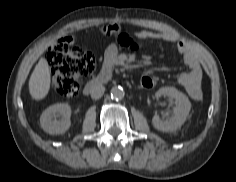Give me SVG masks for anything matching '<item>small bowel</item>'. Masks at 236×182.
<instances>
[{"mask_svg":"<svg viewBox=\"0 0 236 182\" xmlns=\"http://www.w3.org/2000/svg\"><path fill=\"white\" fill-rule=\"evenodd\" d=\"M115 27L119 29L118 26ZM137 37L141 40L153 39L175 43L177 52L182 56L184 63L188 67L187 71L177 77V82L193 100L202 98L203 71L197 54L190 46L170 32L157 33L142 30L137 33Z\"/></svg>","mask_w":236,"mask_h":182,"instance_id":"obj_1","label":"small bowel"}]
</instances>
